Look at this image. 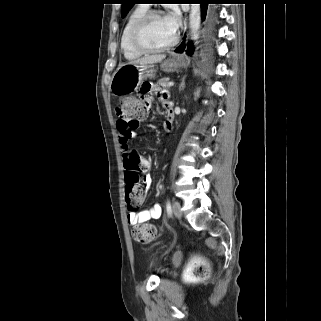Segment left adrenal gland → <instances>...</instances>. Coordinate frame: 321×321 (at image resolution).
I'll return each instance as SVG.
<instances>
[{
    "label": "left adrenal gland",
    "instance_id": "obj_1",
    "mask_svg": "<svg viewBox=\"0 0 321 321\" xmlns=\"http://www.w3.org/2000/svg\"><path fill=\"white\" fill-rule=\"evenodd\" d=\"M184 87H185V83H184V78H183L179 89H180V90H181V89H184Z\"/></svg>",
    "mask_w": 321,
    "mask_h": 321
}]
</instances>
